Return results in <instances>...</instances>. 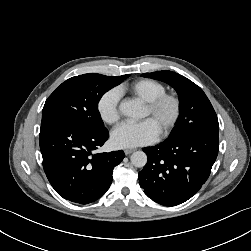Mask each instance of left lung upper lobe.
<instances>
[{"label":"left lung upper lobe","instance_id":"1","mask_svg":"<svg viewBox=\"0 0 251 251\" xmlns=\"http://www.w3.org/2000/svg\"><path fill=\"white\" fill-rule=\"evenodd\" d=\"M142 76L169 84L179 95L180 115L167 141H177L200 131H219L217 115L209 99L191 80L172 71L144 73Z\"/></svg>","mask_w":251,"mask_h":251}]
</instances>
